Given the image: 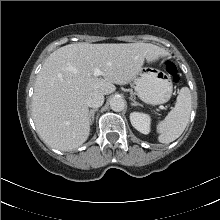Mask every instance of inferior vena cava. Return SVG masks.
I'll use <instances>...</instances> for the list:
<instances>
[{
  "instance_id": "obj_1",
  "label": "inferior vena cava",
  "mask_w": 220,
  "mask_h": 220,
  "mask_svg": "<svg viewBox=\"0 0 220 220\" xmlns=\"http://www.w3.org/2000/svg\"><path fill=\"white\" fill-rule=\"evenodd\" d=\"M104 103V95L97 91L89 92L86 96V104L92 108H98Z\"/></svg>"
}]
</instances>
